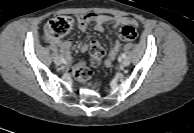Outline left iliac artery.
I'll use <instances>...</instances> for the list:
<instances>
[{"instance_id":"left-iliac-artery-1","label":"left iliac artery","mask_w":194,"mask_h":133,"mask_svg":"<svg viewBox=\"0 0 194 133\" xmlns=\"http://www.w3.org/2000/svg\"><path fill=\"white\" fill-rule=\"evenodd\" d=\"M124 58H126V55H125V53H122L120 56V59H124Z\"/></svg>"}]
</instances>
